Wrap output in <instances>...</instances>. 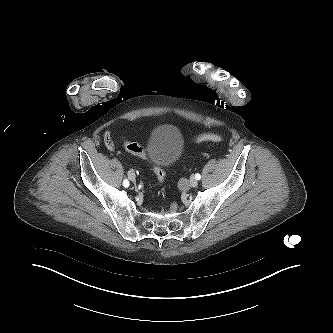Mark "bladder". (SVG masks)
<instances>
[{
  "mask_svg": "<svg viewBox=\"0 0 333 333\" xmlns=\"http://www.w3.org/2000/svg\"><path fill=\"white\" fill-rule=\"evenodd\" d=\"M184 149L180 130L169 124L155 127L146 143V155L154 166L167 168L175 164Z\"/></svg>",
  "mask_w": 333,
  "mask_h": 333,
  "instance_id": "1",
  "label": "bladder"
}]
</instances>
